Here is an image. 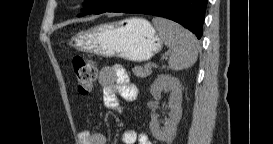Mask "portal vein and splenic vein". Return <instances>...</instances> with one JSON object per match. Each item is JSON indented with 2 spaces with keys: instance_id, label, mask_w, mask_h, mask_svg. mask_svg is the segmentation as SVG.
<instances>
[{
  "instance_id": "obj_1",
  "label": "portal vein and splenic vein",
  "mask_w": 273,
  "mask_h": 144,
  "mask_svg": "<svg viewBox=\"0 0 273 144\" xmlns=\"http://www.w3.org/2000/svg\"><path fill=\"white\" fill-rule=\"evenodd\" d=\"M146 68H151L150 64L145 65Z\"/></svg>"
}]
</instances>
